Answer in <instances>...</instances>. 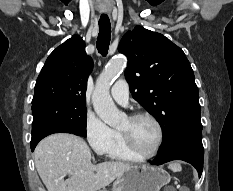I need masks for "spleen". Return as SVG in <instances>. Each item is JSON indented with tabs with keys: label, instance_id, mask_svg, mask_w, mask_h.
Masks as SVG:
<instances>
[{
	"label": "spleen",
	"instance_id": "spleen-1",
	"mask_svg": "<svg viewBox=\"0 0 233 191\" xmlns=\"http://www.w3.org/2000/svg\"><path fill=\"white\" fill-rule=\"evenodd\" d=\"M168 168L172 170L173 172H180L182 170V166L180 163H170L168 165Z\"/></svg>",
	"mask_w": 233,
	"mask_h": 191
}]
</instances>
